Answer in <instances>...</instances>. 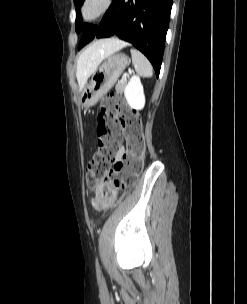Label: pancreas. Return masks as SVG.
I'll return each instance as SVG.
<instances>
[{"label":"pancreas","mask_w":247,"mask_h":304,"mask_svg":"<svg viewBox=\"0 0 247 304\" xmlns=\"http://www.w3.org/2000/svg\"><path fill=\"white\" fill-rule=\"evenodd\" d=\"M127 80L123 78L121 81H119L115 87L117 92H122L124 90V87L126 86Z\"/></svg>","instance_id":"obj_1"}]
</instances>
